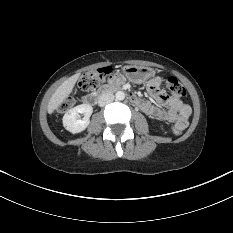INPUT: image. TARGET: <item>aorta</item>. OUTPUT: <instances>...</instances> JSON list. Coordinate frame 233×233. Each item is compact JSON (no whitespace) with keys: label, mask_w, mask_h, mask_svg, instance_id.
Instances as JSON below:
<instances>
[{"label":"aorta","mask_w":233,"mask_h":233,"mask_svg":"<svg viewBox=\"0 0 233 233\" xmlns=\"http://www.w3.org/2000/svg\"><path fill=\"white\" fill-rule=\"evenodd\" d=\"M115 97L117 100L121 101V100H124L125 94L122 91H118V92H116Z\"/></svg>","instance_id":"aorta-1"}]
</instances>
